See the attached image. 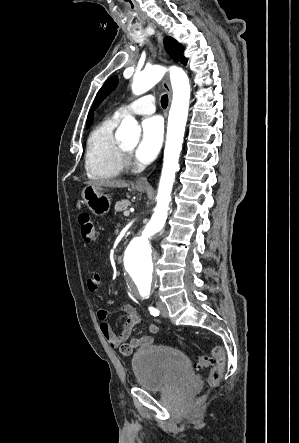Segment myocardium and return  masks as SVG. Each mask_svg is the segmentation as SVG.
Segmentation results:
<instances>
[{
	"label": "myocardium",
	"instance_id": "myocardium-1",
	"mask_svg": "<svg viewBox=\"0 0 299 443\" xmlns=\"http://www.w3.org/2000/svg\"><path fill=\"white\" fill-rule=\"evenodd\" d=\"M124 162L132 159V151L127 150L124 146H121Z\"/></svg>",
	"mask_w": 299,
	"mask_h": 443
}]
</instances>
